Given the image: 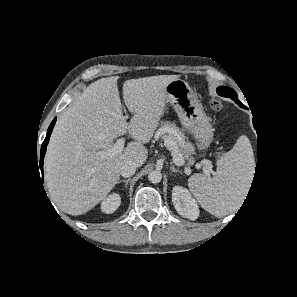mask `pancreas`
Returning <instances> with one entry per match:
<instances>
[{
	"label": "pancreas",
	"instance_id": "1",
	"mask_svg": "<svg viewBox=\"0 0 297 297\" xmlns=\"http://www.w3.org/2000/svg\"><path fill=\"white\" fill-rule=\"evenodd\" d=\"M163 129H166L167 132H162ZM159 133H167V136H164L165 140L168 139L174 143L173 145V155L182 156L183 158H189L194 154V146L188 140H186L183 132L170 121H163L160 124Z\"/></svg>",
	"mask_w": 297,
	"mask_h": 297
}]
</instances>
